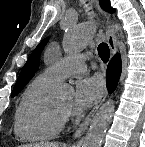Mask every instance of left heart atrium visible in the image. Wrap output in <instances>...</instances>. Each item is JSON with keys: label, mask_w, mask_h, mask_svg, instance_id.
Returning <instances> with one entry per match:
<instances>
[{"label": "left heart atrium", "mask_w": 145, "mask_h": 147, "mask_svg": "<svg viewBox=\"0 0 145 147\" xmlns=\"http://www.w3.org/2000/svg\"><path fill=\"white\" fill-rule=\"evenodd\" d=\"M102 89L103 83L99 76L80 79L76 84L72 111L82 113L90 108L101 96Z\"/></svg>", "instance_id": "obj_1"}]
</instances>
